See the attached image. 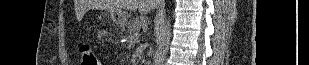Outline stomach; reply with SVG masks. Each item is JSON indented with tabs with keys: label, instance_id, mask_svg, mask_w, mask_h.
Masks as SVG:
<instances>
[{
	"label": "stomach",
	"instance_id": "stomach-1",
	"mask_svg": "<svg viewBox=\"0 0 309 65\" xmlns=\"http://www.w3.org/2000/svg\"><path fill=\"white\" fill-rule=\"evenodd\" d=\"M110 16L114 22L119 25H126L127 24V14L122 10H113L110 13Z\"/></svg>",
	"mask_w": 309,
	"mask_h": 65
}]
</instances>
